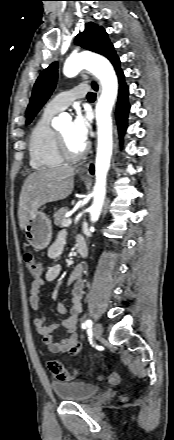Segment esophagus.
<instances>
[{"mask_svg":"<svg viewBox=\"0 0 174 440\" xmlns=\"http://www.w3.org/2000/svg\"><path fill=\"white\" fill-rule=\"evenodd\" d=\"M90 162H91V161H87V162H85V163H81V164H80V166H79V168H78L80 174H85V175H88V174H89V172H88V168H89V164H90Z\"/></svg>","mask_w":174,"mask_h":440,"instance_id":"34e87169","label":"esophagus"}]
</instances>
